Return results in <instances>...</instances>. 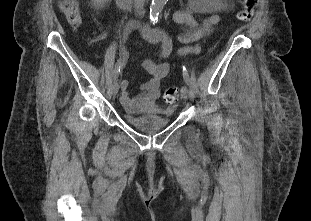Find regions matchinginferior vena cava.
Returning <instances> with one entry per match:
<instances>
[{"instance_id": "602c4592", "label": "inferior vena cava", "mask_w": 311, "mask_h": 221, "mask_svg": "<svg viewBox=\"0 0 311 221\" xmlns=\"http://www.w3.org/2000/svg\"><path fill=\"white\" fill-rule=\"evenodd\" d=\"M144 4L145 0H134V6L138 14H142V12H144Z\"/></svg>"}]
</instances>
